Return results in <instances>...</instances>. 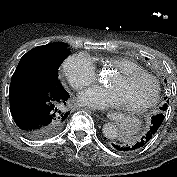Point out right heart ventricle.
Returning a JSON list of instances; mask_svg holds the SVG:
<instances>
[{"instance_id":"obj_1","label":"right heart ventricle","mask_w":177,"mask_h":177,"mask_svg":"<svg viewBox=\"0 0 177 177\" xmlns=\"http://www.w3.org/2000/svg\"><path fill=\"white\" fill-rule=\"evenodd\" d=\"M106 65L116 68L119 72L144 71L140 64L126 57L108 59Z\"/></svg>"}]
</instances>
